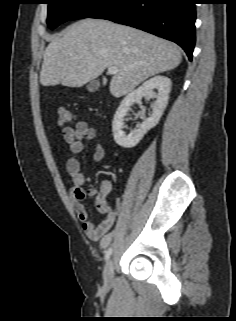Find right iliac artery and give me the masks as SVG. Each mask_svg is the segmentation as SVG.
Returning a JSON list of instances; mask_svg holds the SVG:
<instances>
[{
  "mask_svg": "<svg viewBox=\"0 0 236 321\" xmlns=\"http://www.w3.org/2000/svg\"><path fill=\"white\" fill-rule=\"evenodd\" d=\"M112 254V247L108 248L105 254V260H108Z\"/></svg>",
  "mask_w": 236,
  "mask_h": 321,
  "instance_id": "obj_1",
  "label": "right iliac artery"
}]
</instances>
